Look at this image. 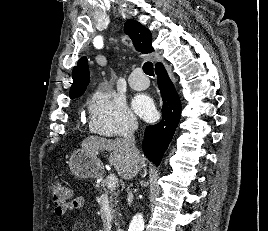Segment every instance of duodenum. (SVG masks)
I'll return each mask as SVG.
<instances>
[{
  "label": "duodenum",
  "mask_w": 268,
  "mask_h": 231,
  "mask_svg": "<svg viewBox=\"0 0 268 231\" xmlns=\"http://www.w3.org/2000/svg\"><path fill=\"white\" fill-rule=\"evenodd\" d=\"M117 231H124V230H122V229H118Z\"/></svg>",
  "instance_id": "1"
}]
</instances>
